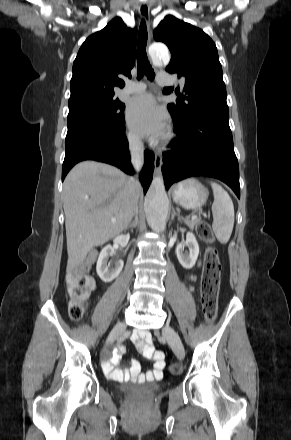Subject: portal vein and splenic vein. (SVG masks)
Returning <instances> with one entry per match:
<instances>
[{"mask_svg": "<svg viewBox=\"0 0 291 440\" xmlns=\"http://www.w3.org/2000/svg\"><path fill=\"white\" fill-rule=\"evenodd\" d=\"M197 217L196 216H192V219H196ZM112 222H114V220H112Z\"/></svg>", "mask_w": 291, "mask_h": 440, "instance_id": "portal-vein-and-splenic-vein-1", "label": "portal vein and splenic vein"}]
</instances>
